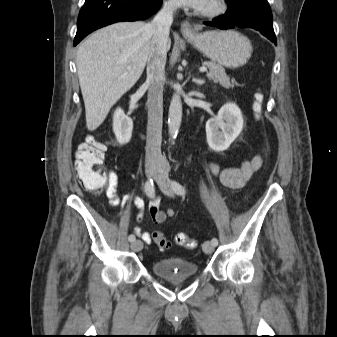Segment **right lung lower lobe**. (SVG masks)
Masks as SVG:
<instances>
[{"label":"right lung lower lobe","instance_id":"1","mask_svg":"<svg viewBox=\"0 0 337 337\" xmlns=\"http://www.w3.org/2000/svg\"><path fill=\"white\" fill-rule=\"evenodd\" d=\"M162 0H85L78 16L76 46L85 36L116 22L144 20L155 13Z\"/></svg>","mask_w":337,"mask_h":337}]
</instances>
